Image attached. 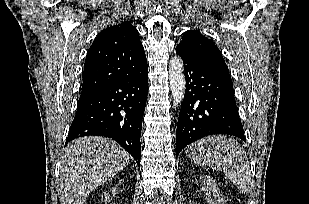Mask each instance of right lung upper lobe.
Masks as SVG:
<instances>
[{"instance_id": "right-lung-upper-lobe-1", "label": "right lung upper lobe", "mask_w": 309, "mask_h": 204, "mask_svg": "<svg viewBox=\"0 0 309 204\" xmlns=\"http://www.w3.org/2000/svg\"><path fill=\"white\" fill-rule=\"evenodd\" d=\"M147 60L139 33L128 21L101 31L88 50L82 94L140 73Z\"/></svg>"}]
</instances>
